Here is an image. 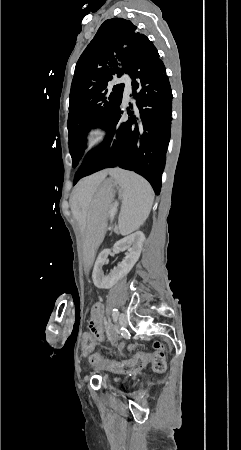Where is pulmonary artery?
<instances>
[{
	"mask_svg": "<svg viewBox=\"0 0 241 450\" xmlns=\"http://www.w3.org/2000/svg\"><path fill=\"white\" fill-rule=\"evenodd\" d=\"M123 86L125 88V91H124L125 94L128 95V96L131 95L132 92H133L132 89H131V86H132L131 83L127 81V82L124 83Z\"/></svg>",
	"mask_w": 241,
	"mask_h": 450,
	"instance_id": "obj_1",
	"label": "pulmonary artery"
}]
</instances>
